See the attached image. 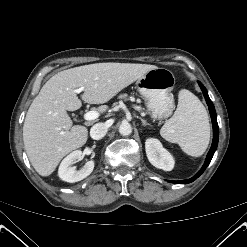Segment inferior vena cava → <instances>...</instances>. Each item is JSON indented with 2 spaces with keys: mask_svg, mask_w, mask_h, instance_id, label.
Instances as JSON below:
<instances>
[{
  "mask_svg": "<svg viewBox=\"0 0 247 247\" xmlns=\"http://www.w3.org/2000/svg\"><path fill=\"white\" fill-rule=\"evenodd\" d=\"M107 130H108V125L106 123H102V122L97 123L92 126L90 130V136L94 140L102 139L106 135Z\"/></svg>",
  "mask_w": 247,
  "mask_h": 247,
  "instance_id": "602c4592",
  "label": "inferior vena cava"
}]
</instances>
